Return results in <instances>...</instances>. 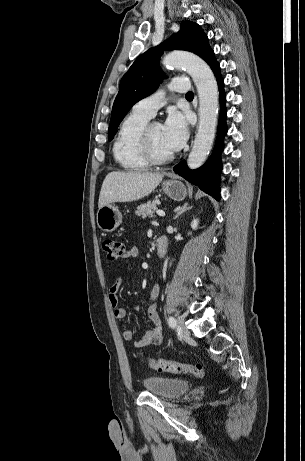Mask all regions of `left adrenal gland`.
<instances>
[{"label":"left adrenal gland","instance_id":"obj_1","mask_svg":"<svg viewBox=\"0 0 305 461\" xmlns=\"http://www.w3.org/2000/svg\"><path fill=\"white\" fill-rule=\"evenodd\" d=\"M191 208H192V206H188V203L183 204V206H181L179 208V210L176 212L173 219H177L181 214H183L184 212L190 210Z\"/></svg>","mask_w":305,"mask_h":461}]
</instances>
